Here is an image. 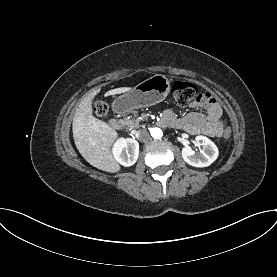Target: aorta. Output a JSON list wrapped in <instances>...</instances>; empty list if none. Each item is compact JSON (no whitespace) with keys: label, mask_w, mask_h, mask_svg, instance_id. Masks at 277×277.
Returning <instances> with one entry per match:
<instances>
[{"label":"aorta","mask_w":277,"mask_h":277,"mask_svg":"<svg viewBox=\"0 0 277 277\" xmlns=\"http://www.w3.org/2000/svg\"><path fill=\"white\" fill-rule=\"evenodd\" d=\"M151 135L155 139H160L163 136V132L160 128H152L151 129Z\"/></svg>","instance_id":"aorta-1"}]
</instances>
